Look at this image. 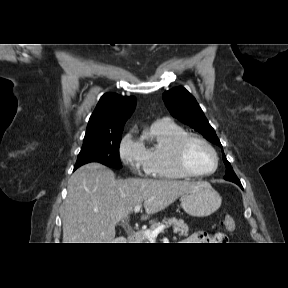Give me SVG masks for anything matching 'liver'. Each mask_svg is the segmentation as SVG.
I'll use <instances>...</instances> for the list:
<instances>
[{"label":"liver","instance_id":"obj_1","mask_svg":"<svg viewBox=\"0 0 288 288\" xmlns=\"http://www.w3.org/2000/svg\"><path fill=\"white\" fill-rule=\"evenodd\" d=\"M189 181L115 179L100 163L78 168L68 181L62 216L63 243H112L115 226L143 203L147 215L157 213L193 189Z\"/></svg>","mask_w":288,"mask_h":288}]
</instances>
